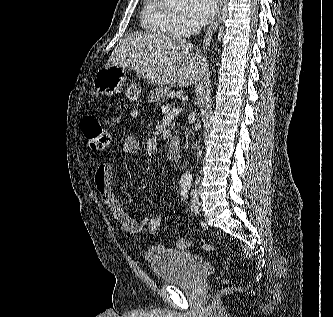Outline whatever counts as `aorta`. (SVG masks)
I'll return each mask as SVG.
<instances>
[{"label": "aorta", "mask_w": 333, "mask_h": 317, "mask_svg": "<svg viewBox=\"0 0 333 317\" xmlns=\"http://www.w3.org/2000/svg\"><path fill=\"white\" fill-rule=\"evenodd\" d=\"M188 0H164L165 5L168 8H181L187 4ZM192 181L191 173L186 170L181 177L180 182L182 184H190Z\"/></svg>", "instance_id": "1"}]
</instances>
